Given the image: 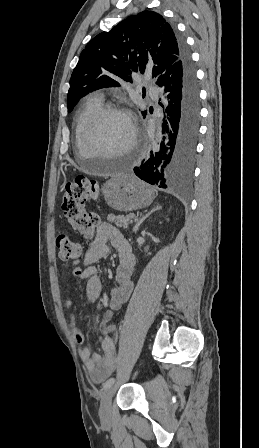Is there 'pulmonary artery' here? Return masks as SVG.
I'll use <instances>...</instances> for the list:
<instances>
[{"label":"pulmonary artery","mask_w":259,"mask_h":448,"mask_svg":"<svg viewBox=\"0 0 259 448\" xmlns=\"http://www.w3.org/2000/svg\"><path fill=\"white\" fill-rule=\"evenodd\" d=\"M96 95L99 97V98H103V96H104V94H103V92L101 91V90H99V91H97L96 92ZM153 99H157V96L156 97H152Z\"/></svg>","instance_id":"pulmonary-artery-1"}]
</instances>
